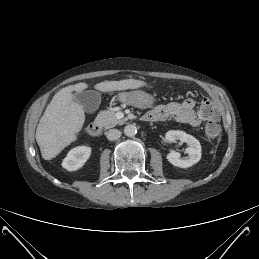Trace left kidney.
<instances>
[{"instance_id": "1", "label": "left kidney", "mask_w": 259, "mask_h": 259, "mask_svg": "<svg viewBox=\"0 0 259 259\" xmlns=\"http://www.w3.org/2000/svg\"><path fill=\"white\" fill-rule=\"evenodd\" d=\"M165 138L169 142H185L189 147L185 149V153L188 154V158H181L180 153L172 150L167 154V160L173 165L180 168H188L199 162L201 159V145L200 142L193 137L180 130H170L165 134Z\"/></svg>"}]
</instances>
